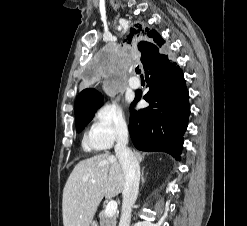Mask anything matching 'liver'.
<instances>
[{
    "mask_svg": "<svg viewBox=\"0 0 247 226\" xmlns=\"http://www.w3.org/2000/svg\"><path fill=\"white\" fill-rule=\"evenodd\" d=\"M136 156L143 160L141 154ZM124 184L125 175L117 157L105 153L80 161L63 190V225L90 226L102 199L123 192Z\"/></svg>",
    "mask_w": 247,
    "mask_h": 226,
    "instance_id": "obj_1",
    "label": "liver"
}]
</instances>
